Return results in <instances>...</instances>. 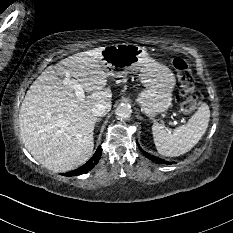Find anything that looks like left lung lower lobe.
<instances>
[{
    "mask_svg": "<svg viewBox=\"0 0 233 233\" xmlns=\"http://www.w3.org/2000/svg\"><path fill=\"white\" fill-rule=\"evenodd\" d=\"M137 145H138L139 149L143 152V154H144L148 159H150L151 161H155V162L158 163V164H171L170 162H167V161H165V160H163V159H160V158H158V157H156V156H152V155H150L149 153L143 151V150L141 149V147L139 146L138 142H137Z\"/></svg>",
    "mask_w": 233,
    "mask_h": 233,
    "instance_id": "obj_1",
    "label": "left lung lower lobe"
}]
</instances>
